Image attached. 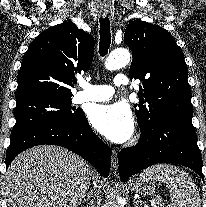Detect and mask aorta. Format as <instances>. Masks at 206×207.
Here are the masks:
<instances>
[{
	"label": "aorta",
	"instance_id": "aorta-1",
	"mask_svg": "<svg viewBox=\"0 0 206 207\" xmlns=\"http://www.w3.org/2000/svg\"><path fill=\"white\" fill-rule=\"evenodd\" d=\"M131 60V55L126 49H116L112 51L105 62V67L108 70H117L129 64ZM121 198H118V206L123 207L121 205Z\"/></svg>",
	"mask_w": 206,
	"mask_h": 207
}]
</instances>
